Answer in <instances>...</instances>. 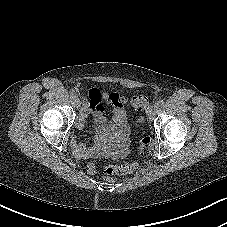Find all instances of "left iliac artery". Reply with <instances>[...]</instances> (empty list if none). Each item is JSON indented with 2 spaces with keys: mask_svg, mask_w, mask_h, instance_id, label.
<instances>
[{
  "mask_svg": "<svg viewBox=\"0 0 227 227\" xmlns=\"http://www.w3.org/2000/svg\"><path fill=\"white\" fill-rule=\"evenodd\" d=\"M164 104V100H159V101H157V105H159V106H162Z\"/></svg>",
  "mask_w": 227,
  "mask_h": 227,
  "instance_id": "obj_1",
  "label": "left iliac artery"
}]
</instances>
